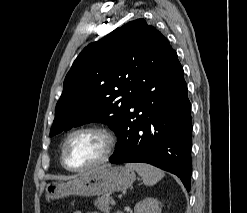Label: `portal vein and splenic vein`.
<instances>
[{
    "label": "portal vein and splenic vein",
    "mask_w": 247,
    "mask_h": 213,
    "mask_svg": "<svg viewBox=\"0 0 247 213\" xmlns=\"http://www.w3.org/2000/svg\"><path fill=\"white\" fill-rule=\"evenodd\" d=\"M115 203H116L115 200L112 199V200H111V204H112V205H115Z\"/></svg>",
    "instance_id": "portal-vein-and-splenic-vein-1"
}]
</instances>
